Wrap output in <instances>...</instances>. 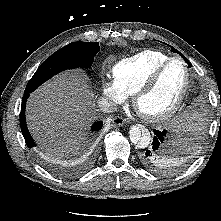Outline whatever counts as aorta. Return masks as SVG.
Masks as SVG:
<instances>
[{"instance_id": "1", "label": "aorta", "mask_w": 221, "mask_h": 221, "mask_svg": "<svg viewBox=\"0 0 221 221\" xmlns=\"http://www.w3.org/2000/svg\"><path fill=\"white\" fill-rule=\"evenodd\" d=\"M129 138L131 142L139 148H146L150 144L151 135L146 128L132 126L129 130Z\"/></svg>"}]
</instances>
